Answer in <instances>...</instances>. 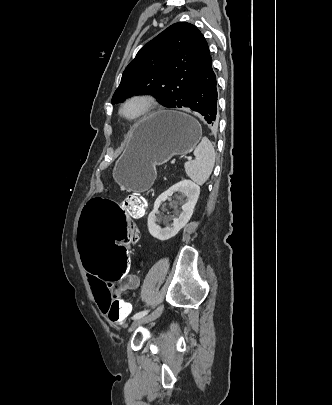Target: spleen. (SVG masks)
Here are the masks:
<instances>
[{
  "label": "spleen",
  "instance_id": "obj_1",
  "mask_svg": "<svg viewBox=\"0 0 332 405\" xmlns=\"http://www.w3.org/2000/svg\"><path fill=\"white\" fill-rule=\"evenodd\" d=\"M194 156L195 160L185 163V172L193 182L203 185L209 179L215 164L214 146L207 137H203L195 148Z\"/></svg>",
  "mask_w": 332,
  "mask_h": 405
}]
</instances>
